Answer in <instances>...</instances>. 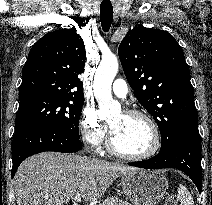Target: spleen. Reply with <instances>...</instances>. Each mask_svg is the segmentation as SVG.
I'll return each mask as SVG.
<instances>
[{"instance_id": "3e777b00", "label": "spleen", "mask_w": 212, "mask_h": 205, "mask_svg": "<svg viewBox=\"0 0 212 205\" xmlns=\"http://www.w3.org/2000/svg\"><path fill=\"white\" fill-rule=\"evenodd\" d=\"M178 199L181 205H194L193 197L184 185L178 187Z\"/></svg>"}]
</instances>
